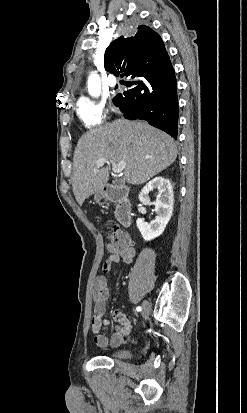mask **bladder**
Returning a JSON list of instances; mask_svg holds the SVG:
<instances>
[{
  "label": "bladder",
  "mask_w": 247,
  "mask_h": 413,
  "mask_svg": "<svg viewBox=\"0 0 247 413\" xmlns=\"http://www.w3.org/2000/svg\"><path fill=\"white\" fill-rule=\"evenodd\" d=\"M109 353L111 356L126 359L130 355L131 352L129 349H125V350H115Z\"/></svg>",
  "instance_id": "31cf9c89"
}]
</instances>
